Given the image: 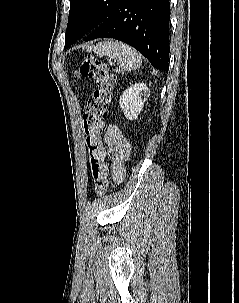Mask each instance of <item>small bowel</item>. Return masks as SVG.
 Wrapping results in <instances>:
<instances>
[{
	"mask_svg": "<svg viewBox=\"0 0 239 303\" xmlns=\"http://www.w3.org/2000/svg\"><path fill=\"white\" fill-rule=\"evenodd\" d=\"M104 143L111 158V172L115 183H121L126 176L125 163L131 152L127 136L115 125L107 128Z\"/></svg>",
	"mask_w": 239,
	"mask_h": 303,
	"instance_id": "1",
	"label": "small bowel"
}]
</instances>
